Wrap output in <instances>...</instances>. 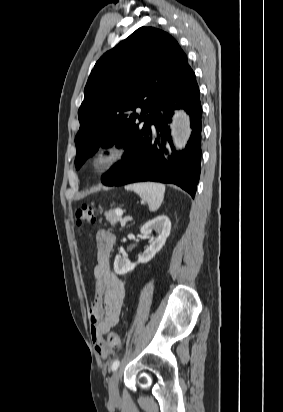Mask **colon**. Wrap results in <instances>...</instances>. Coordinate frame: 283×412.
Returning a JSON list of instances; mask_svg holds the SVG:
<instances>
[{
    "instance_id": "5ec220e1",
    "label": "colon",
    "mask_w": 283,
    "mask_h": 412,
    "mask_svg": "<svg viewBox=\"0 0 283 412\" xmlns=\"http://www.w3.org/2000/svg\"><path fill=\"white\" fill-rule=\"evenodd\" d=\"M74 216L79 227H82L83 225H92L96 220L95 209L88 204L78 206L75 209ZM101 345L104 351L117 349L120 347V337L115 333H111L102 341Z\"/></svg>"
}]
</instances>
